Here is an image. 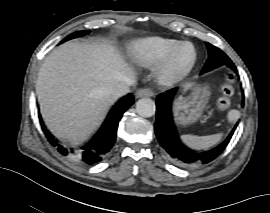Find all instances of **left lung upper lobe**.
Returning a JSON list of instances; mask_svg holds the SVG:
<instances>
[{
	"mask_svg": "<svg viewBox=\"0 0 270 213\" xmlns=\"http://www.w3.org/2000/svg\"><path fill=\"white\" fill-rule=\"evenodd\" d=\"M207 48H208V52H209V58L206 61L201 74L206 73L210 70H213L219 66H222L224 64L228 65V66H233V62L230 60V58L223 52L221 51L219 48L206 43Z\"/></svg>",
	"mask_w": 270,
	"mask_h": 213,
	"instance_id": "5c2ea615",
	"label": "left lung upper lobe"
}]
</instances>
